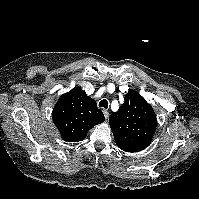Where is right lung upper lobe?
<instances>
[{
    "label": "right lung upper lobe",
    "instance_id": "1",
    "mask_svg": "<svg viewBox=\"0 0 199 199\" xmlns=\"http://www.w3.org/2000/svg\"><path fill=\"white\" fill-rule=\"evenodd\" d=\"M52 118L62 138L69 142L82 141L91 128L105 120L96 102L80 87L59 98Z\"/></svg>",
    "mask_w": 199,
    "mask_h": 199
}]
</instances>
